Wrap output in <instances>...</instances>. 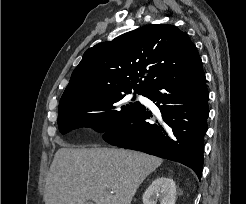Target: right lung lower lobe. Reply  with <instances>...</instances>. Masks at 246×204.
Here are the masks:
<instances>
[{"mask_svg": "<svg viewBox=\"0 0 246 204\" xmlns=\"http://www.w3.org/2000/svg\"><path fill=\"white\" fill-rule=\"evenodd\" d=\"M156 102V116L140 103L120 127L103 139L118 147L139 150L180 162L201 178L209 93L201 59L155 83L142 93Z\"/></svg>", "mask_w": 246, "mask_h": 204, "instance_id": "1", "label": "right lung lower lobe"}]
</instances>
